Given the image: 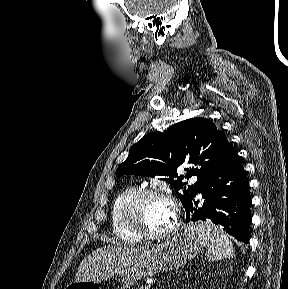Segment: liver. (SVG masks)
<instances>
[{"label": "liver", "mask_w": 288, "mask_h": 289, "mask_svg": "<svg viewBox=\"0 0 288 289\" xmlns=\"http://www.w3.org/2000/svg\"><path fill=\"white\" fill-rule=\"evenodd\" d=\"M153 248L108 245L96 249L79 265L75 281L93 280L131 266L151 254Z\"/></svg>", "instance_id": "6515ba94"}]
</instances>
